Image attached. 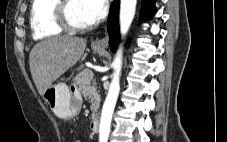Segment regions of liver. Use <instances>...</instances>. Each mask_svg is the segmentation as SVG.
<instances>
[{
  "mask_svg": "<svg viewBox=\"0 0 227 142\" xmlns=\"http://www.w3.org/2000/svg\"><path fill=\"white\" fill-rule=\"evenodd\" d=\"M86 39L74 36H55L37 43L29 55L30 71L42 96L84 53Z\"/></svg>",
  "mask_w": 227,
  "mask_h": 142,
  "instance_id": "obj_1",
  "label": "liver"
}]
</instances>
